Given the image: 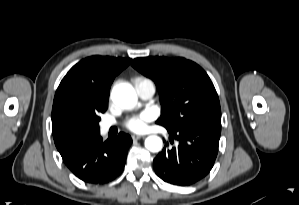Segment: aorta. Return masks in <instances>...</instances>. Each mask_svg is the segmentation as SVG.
<instances>
[{
	"label": "aorta",
	"instance_id": "aorta-1",
	"mask_svg": "<svg viewBox=\"0 0 299 205\" xmlns=\"http://www.w3.org/2000/svg\"><path fill=\"white\" fill-rule=\"evenodd\" d=\"M111 98L121 108L131 109L137 104V94L128 83H121L113 87ZM162 139L158 136H149L145 140V147L151 152H159L162 149Z\"/></svg>",
	"mask_w": 299,
	"mask_h": 205
}]
</instances>
